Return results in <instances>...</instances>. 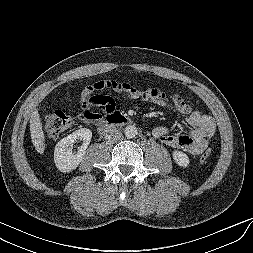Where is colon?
<instances>
[{"label": "colon", "mask_w": 253, "mask_h": 253, "mask_svg": "<svg viewBox=\"0 0 253 253\" xmlns=\"http://www.w3.org/2000/svg\"><path fill=\"white\" fill-rule=\"evenodd\" d=\"M102 111L98 110V115ZM110 116V115H108ZM93 118H97L94 116ZM73 125V118L62 111H55L46 118L45 130L46 133L51 137H58ZM212 156V150H207L200 158L201 162H206Z\"/></svg>", "instance_id": "5ec220e1"}]
</instances>
